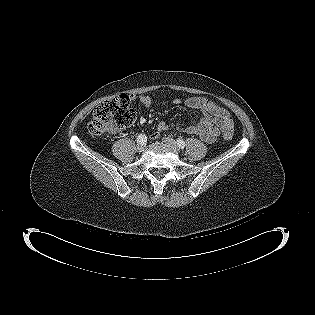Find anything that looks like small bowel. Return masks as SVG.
Instances as JSON below:
<instances>
[{"label": "small bowel", "mask_w": 315, "mask_h": 315, "mask_svg": "<svg viewBox=\"0 0 315 315\" xmlns=\"http://www.w3.org/2000/svg\"><path fill=\"white\" fill-rule=\"evenodd\" d=\"M135 97L131 96L130 100ZM139 102L146 108L152 105V99L148 95H141ZM172 103L179 105L182 103L180 98H173ZM184 105L191 109H196L201 112L202 117L196 125H189L181 130L187 134L198 136L200 139L207 143L214 142L220 135L221 131L233 132V121L229 112L220 106L218 103L204 97L193 96L184 100ZM168 129L166 122L162 121L158 124V131L162 132ZM156 138L157 135H154Z\"/></svg>", "instance_id": "obj_1"}]
</instances>
